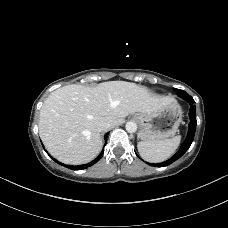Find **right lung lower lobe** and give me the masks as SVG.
I'll return each instance as SVG.
<instances>
[{
	"mask_svg": "<svg viewBox=\"0 0 228 228\" xmlns=\"http://www.w3.org/2000/svg\"><path fill=\"white\" fill-rule=\"evenodd\" d=\"M108 134V133H107ZM107 134H105L104 138H105V145H106V141H107ZM104 154V149L102 150V152L98 155V157L96 159H94L92 162L87 163V164H83V165H77V166H72V165H65V167L70 168L72 170H81V169H86L90 166H92L93 164H95L97 161H99L102 156ZM54 161H56L58 164L64 165L63 163L58 162L57 160L53 159Z\"/></svg>",
	"mask_w": 228,
	"mask_h": 228,
	"instance_id": "98d812e1",
	"label": "right lung lower lobe"
}]
</instances>
